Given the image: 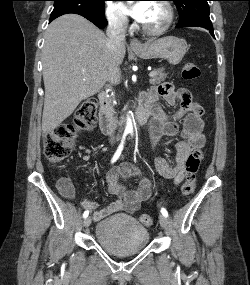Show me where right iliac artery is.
<instances>
[{
  "mask_svg": "<svg viewBox=\"0 0 250 285\" xmlns=\"http://www.w3.org/2000/svg\"><path fill=\"white\" fill-rule=\"evenodd\" d=\"M124 140H125V135L123 136L122 141H121L117 151L115 152V154H114V156H113V158L111 160L112 163H114L119 158V156L121 155V152H122L123 146H124ZM88 215H89V211L86 210L83 213V217L86 218V217H88Z\"/></svg>",
  "mask_w": 250,
  "mask_h": 285,
  "instance_id": "obj_1",
  "label": "right iliac artery"
}]
</instances>
